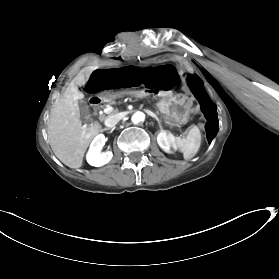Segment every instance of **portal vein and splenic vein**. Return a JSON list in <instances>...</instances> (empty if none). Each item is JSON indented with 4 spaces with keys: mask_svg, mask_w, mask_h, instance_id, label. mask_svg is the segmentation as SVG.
Wrapping results in <instances>:
<instances>
[{
    "mask_svg": "<svg viewBox=\"0 0 279 279\" xmlns=\"http://www.w3.org/2000/svg\"><path fill=\"white\" fill-rule=\"evenodd\" d=\"M112 111V107H107L105 109H103V113L105 114H109Z\"/></svg>",
    "mask_w": 279,
    "mask_h": 279,
    "instance_id": "18ae733b",
    "label": "portal vein and splenic vein"
}]
</instances>
